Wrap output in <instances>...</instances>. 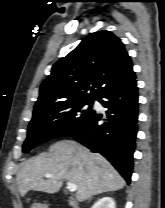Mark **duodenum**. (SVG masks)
Returning <instances> with one entry per match:
<instances>
[{
  "instance_id": "410a0bca",
  "label": "duodenum",
  "mask_w": 165,
  "mask_h": 208,
  "mask_svg": "<svg viewBox=\"0 0 165 208\" xmlns=\"http://www.w3.org/2000/svg\"><path fill=\"white\" fill-rule=\"evenodd\" d=\"M70 208H78V207H75V206H71Z\"/></svg>"
}]
</instances>
